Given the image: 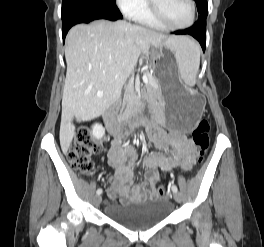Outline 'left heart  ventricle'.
Wrapping results in <instances>:
<instances>
[{
	"instance_id": "b2bd125f",
	"label": "left heart ventricle",
	"mask_w": 264,
	"mask_h": 247,
	"mask_svg": "<svg viewBox=\"0 0 264 247\" xmlns=\"http://www.w3.org/2000/svg\"><path fill=\"white\" fill-rule=\"evenodd\" d=\"M164 18L172 24H185L191 16L188 0H156Z\"/></svg>"
}]
</instances>
